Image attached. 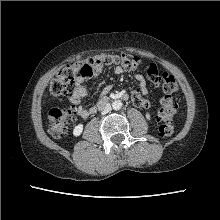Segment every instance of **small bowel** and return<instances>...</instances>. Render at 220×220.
<instances>
[{
    "instance_id": "c3829d8e",
    "label": "small bowel",
    "mask_w": 220,
    "mask_h": 220,
    "mask_svg": "<svg viewBox=\"0 0 220 220\" xmlns=\"http://www.w3.org/2000/svg\"><path fill=\"white\" fill-rule=\"evenodd\" d=\"M114 71L116 74L123 73V69L120 66H117ZM101 72L102 67L93 70L90 69L86 75H79L74 80V88L70 101L74 106L76 114L82 118H86L96 112L95 106L85 107L82 105V100L89 94V87L87 86L86 81L97 77ZM135 78L139 84V90H135L131 93V99L136 106L146 108L149 106V101L145 98V95L147 94L146 81L141 74H137ZM108 90L109 87H106L104 92H107Z\"/></svg>"
}]
</instances>
